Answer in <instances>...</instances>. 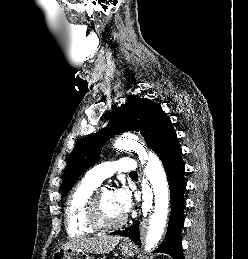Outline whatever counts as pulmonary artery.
I'll return each mask as SVG.
<instances>
[{"label": "pulmonary artery", "mask_w": 248, "mask_h": 259, "mask_svg": "<svg viewBox=\"0 0 248 259\" xmlns=\"http://www.w3.org/2000/svg\"><path fill=\"white\" fill-rule=\"evenodd\" d=\"M137 163L132 158H121L117 161L105 162L94 166L85 174V178L97 185L115 172L132 173L136 172Z\"/></svg>", "instance_id": "obj_1"}]
</instances>
